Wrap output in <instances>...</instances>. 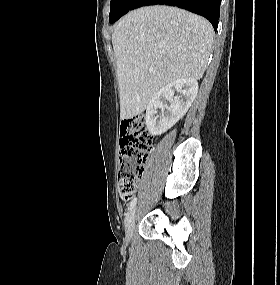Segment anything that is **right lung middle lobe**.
I'll return each mask as SVG.
<instances>
[{"mask_svg": "<svg viewBox=\"0 0 280 285\" xmlns=\"http://www.w3.org/2000/svg\"><path fill=\"white\" fill-rule=\"evenodd\" d=\"M136 1L137 0H111L110 23H114L129 10H132Z\"/></svg>", "mask_w": 280, "mask_h": 285, "instance_id": "dd1d6c3e", "label": "right lung middle lobe"}]
</instances>
